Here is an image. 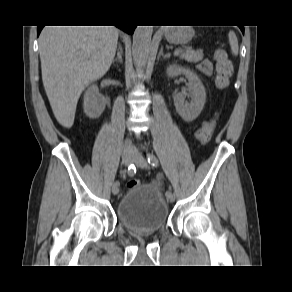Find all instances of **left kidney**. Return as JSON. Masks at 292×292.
Returning <instances> with one entry per match:
<instances>
[{
  "label": "left kidney",
  "mask_w": 292,
  "mask_h": 292,
  "mask_svg": "<svg viewBox=\"0 0 292 292\" xmlns=\"http://www.w3.org/2000/svg\"><path fill=\"white\" fill-rule=\"evenodd\" d=\"M168 77H176L183 74L188 79V92H180L174 96V105L177 113L186 122L195 120L203 110L206 102V91L203 83L196 73L189 68L176 64L169 65L166 70ZM186 96L191 97V101H185Z\"/></svg>",
  "instance_id": "1"
}]
</instances>
